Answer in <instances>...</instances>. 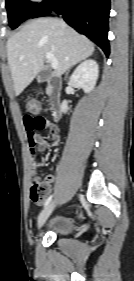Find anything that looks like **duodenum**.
<instances>
[{
    "mask_svg": "<svg viewBox=\"0 0 134 281\" xmlns=\"http://www.w3.org/2000/svg\"><path fill=\"white\" fill-rule=\"evenodd\" d=\"M47 93L55 112V118H59V104H60V94H61V84L58 81H51L47 86Z\"/></svg>",
    "mask_w": 134,
    "mask_h": 281,
    "instance_id": "410a0bca",
    "label": "duodenum"
}]
</instances>
